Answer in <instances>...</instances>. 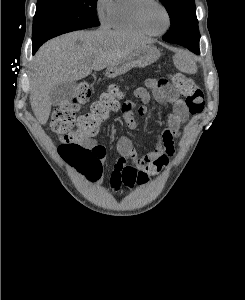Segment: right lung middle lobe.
<instances>
[{"instance_id": "obj_1", "label": "right lung middle lobe", "mask_w": 245, "mask_h": 300, "mask_svg": "<svg viewBox=\"0 0 245 300\" xmlns=\"http://www.w3.org/2000/svg\"><path fill=\"white\" fill-rule=\"evenodd\" d=\"M96 5L97 0H38L33 19V46L67 32L99 26Z\"/></svg>"}]
</instances>
